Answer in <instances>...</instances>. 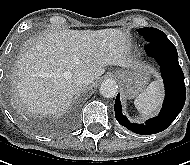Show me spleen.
<instances>
[{
    "label": "spleen",
    "instance_id": "spleen-1",
    "mask_svg": "<svg viewBox=\"0 0 190 165\" xmlns=\"http://www.w3.org/2000/svg\"><path fill=\"white\" fill-rule=\"evenodd\" d=\"M162 100L161 80L151 82L147 88L139 94L135 101V107L144 115L153 114L160 106Z\"/></svg>",
    "mask_w": 190,
    "mask_h": 165
}]
</instances>
